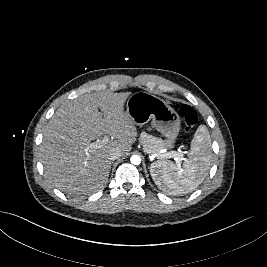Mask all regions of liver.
<instances>
[{
	"label": "liver",
	"mask_w": 267,
	"mask_h": 267,
	"mask_svg": "<svg viewBox=\"0 0 267 267\" xmlns=\"http://www.w3.org/2000/svg\"><path fill=\"white\" fill-rule=\"evenodd\" d=\"M131 92L90 93L63 104L49 120L40 147L48 180L69 195L89 194L104 187L111 168L109 152L128 155L136 141L135 123L124 111ZM111 141L88 148L102 135Z\"/></svg>",
	"instance_id": "obj_1"
}]
</instances>
